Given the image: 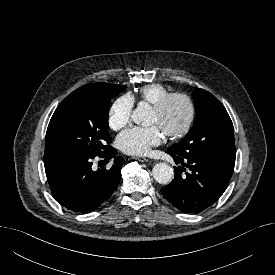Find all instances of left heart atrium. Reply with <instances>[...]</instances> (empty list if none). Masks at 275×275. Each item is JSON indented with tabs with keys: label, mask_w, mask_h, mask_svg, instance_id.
Masks as SVG:
<instances>
[{
	"label": "left heart atrium",
	"mask_w": 275,
	"mask_h": 275,
	"mask_svg": "<svg viewBox=\"0 0 275 275\" xmlns=\"http://www.w3.org/2000/svg\"><path fill=\"white\" fill-rule=\"evenodd\" d=\"M163 133L158 125L150 127H134L118 136L120 149L131 155H145L152 146L161 143Z\"/></svg>",
	"instance_id": "left-heart-atrium-1"
}]
</instances>
